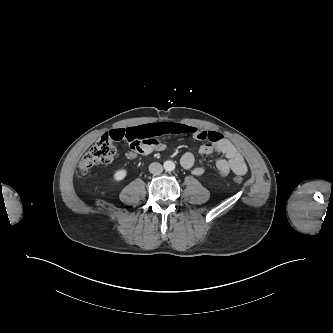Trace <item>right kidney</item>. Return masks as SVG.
Listing matches in <instances>:
<instances>
[{
    "label": "right kidney",
    "instance_id": "1",
    "mask_svg": "<svg viewBox=\"0 0 333 333\" xmlns=\"http://www.w3.org/2000/svg\"><path fill=\"white\" fill-rule=\"evenodd\" d=\"M127 176V170L126 169H119L115 171L113 175V182H120Z\"/></svg>",
    "mask_w": 333,
    "mask_h": 333
}]
</instances>
